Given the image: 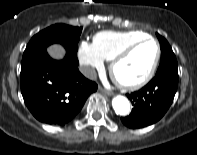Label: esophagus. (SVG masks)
Wrapping results in <instances>:
<instances>
[{"mask_svg":"<svg viewBox=\"0 0 197 155\" xmlns=\"http://www.w3.org/2000/svg\"><path fill=\"white\" fill-rule=\"evenodd\" d=\"M99 90H100L103 94H105V95H108V96H111V95H112V92H110V91L104 89V88L101 87V86L99 87Z\"/></svg>","mask_w":197,"mask_h":155,"instance_id":"34e87169","label":"esophagus"}]
</instances>
